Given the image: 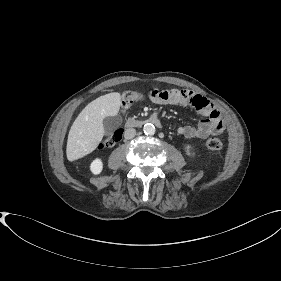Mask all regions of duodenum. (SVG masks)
Instances as JSON below:
<instances>
[{"label":"duodenum","mask_w":281,"mask_h":281,"mask_svg":"<svg viewBox=\"0 0 281 281\" xmlns=\"http://www.w3.org/2000/svg\"><path fill=\"white\" fill-rule=\"evenodd\" d=\"M147 123L160 125L161 122H160L158 115H152L151 117L146 118V119H129L126 122L125 127H126V129L141 127Z\"/></svg>","instance_id":"duodenum-1"}]
</instances>
